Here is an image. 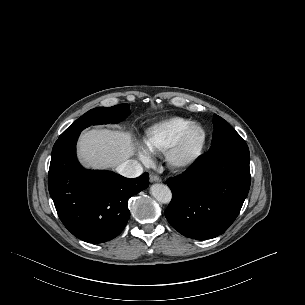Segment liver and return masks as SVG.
<instances>
[{
	"mask_svg": "<svg viewBox=\"0 0 305 305\" xmlns=\"http://www.w3.org/2000/svg\"><path fill=\"white\" fill-rule=\"evenodd\" d=\"M129 132L93 129L84 132L78 142V156L87 168H113L134 155Z\"/></svg>",
	"mask_w": 305,
	"mask_h": 305,
	"instance_id": "1",
	"label": "liver"
}]
</instances>
